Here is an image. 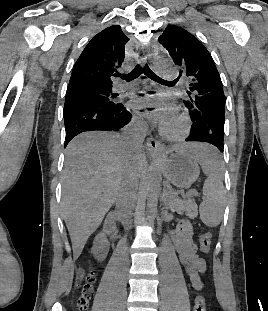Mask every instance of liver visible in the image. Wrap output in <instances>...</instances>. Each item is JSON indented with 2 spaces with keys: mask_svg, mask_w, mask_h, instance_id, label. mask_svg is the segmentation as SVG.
Returning <instances> with one entry per match:
<instances>
[{
  "mask_svg": "<svg viewBox=\"0 0 268 311\" xmlns=\"http://www.w3.org/2000/svg\"><path fill=\"white\" fill-rule=\"evenodd\" d=\"M193 150V146H189ZM145 162L124 135L87 132L66 148L62 182V214L73 249L81 255L90 235L119 196L122 183L131 175L138 183Z\"/></svg>",
  "mask_w": 268,
  "mask_h": 311,
  "instance_id": "obj_1",
  "label": "liver"
}]
</instances>
